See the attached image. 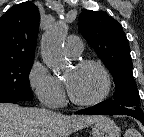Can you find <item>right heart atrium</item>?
<instances>
[{
    "label": "right heart atrium",
    "instance_id": "obj_1",
    "mask_svg": "<svg viewBox=\"0 0 144 137\" xmlns=\"http://www.w3.org/2000/svg\"><path fill=\"white\" fill-rule=\"evenodd\" d=\"M27 78L30 88L42 105L56 108L63 104L64 91L61 81L43 63L35 60Z\"/></svg>",
    "mask_w": 144,
    "mask_h": 137
}]
</instances>
